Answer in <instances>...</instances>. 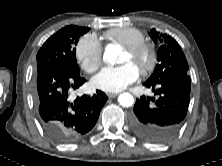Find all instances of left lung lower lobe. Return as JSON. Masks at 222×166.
Instances as JSON below:
<instances>
[{"label": "left lung lower lobe", "instance_id": "1", "mask_svg": "<svg viewBox=\"0 0 222 166\" xmlns=\"http://www.w3.org/2000/svg\"><path fill=\"white\" fill-rule=\"evenodd\" d=\"M157 99L140 97L134 105L131 126L142 139L151 143H167L181 129L190 102L189 75H175L157 82H145Z\"/></svg>", "mask_w": 222, "mask_h": 166}]
</instances>
